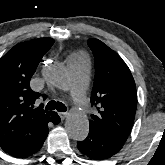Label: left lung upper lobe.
Returning a JSON list of instances; mask_svg holds the SVG:
<instances>
[{
    "label": "left lung upper lobe",
    "instance_id": "1",
    "mask_svg": "<svg viewBox=\"0 0 165 165\" xmlns=\"http://www.w3.org/2000/svg\"><path fill=\"white\" fill-rule=\"evenodd\" d=\"M95 60L91 104L99 115L89 125L126 140L133 125L137 93L132 74L122 58L98 39L87 41Z\"/></svg>",
    "mask_w": 165,
    "mask_h": 165
}]
</instances>
